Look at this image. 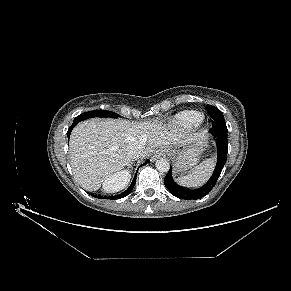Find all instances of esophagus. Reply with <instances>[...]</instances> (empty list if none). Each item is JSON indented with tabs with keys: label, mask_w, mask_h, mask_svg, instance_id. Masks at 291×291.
Instances as JSON below:
<instances>
[{
	"label": "esophagus",
	"mask_w": 291,
	"mask_h": 291,
	"mask_svg": "<svg viewBox=\"0 0 291 291\" xmlns=\"http://www.w3.org/2000/svg\"><path fill=\"white\" fill-rule=\"evenodd\" d=\"M166 152H167V150L164 149V148L158 149V150L154 153V155H153V157H152V160L154 161L156 158H159V157H161V156H165Z\"/></svg>",
	"instance_id": "1"
}]
</instances>
